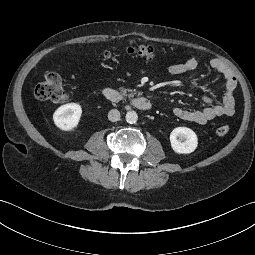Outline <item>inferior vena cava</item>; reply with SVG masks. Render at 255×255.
<instances>
[{
  "label": "inferior vena cava",
  "instance_id": "602c4592",
  "mask_svg": "<svg viewBox=\"0 0 255 255\" xmlns=\"http://www.w3.org/2000/svg\"><path fill=\"white\" fill-rule=\"evenodd\" d=\"M108 119L111 122H116L120 119V112L117 109H112L108 113Z\"/></svg>",
  "mask_w": 255,
  "mask_h": 255
}]
</instances>
